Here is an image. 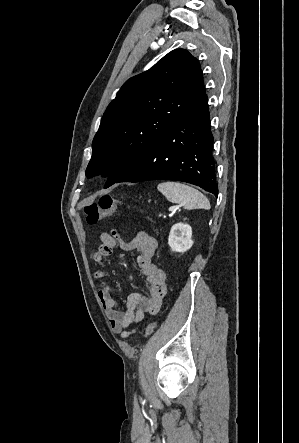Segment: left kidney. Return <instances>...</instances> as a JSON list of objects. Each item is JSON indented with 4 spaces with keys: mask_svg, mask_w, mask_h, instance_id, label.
Returning <instances> with one entry per match:
<instances>
[{
    "mask_svg": "<svg viewBox=\"0 0 299 443\" xmlns=\"http://www.w3.org/2000/svg\"><path fill=\"white\" fill-rule=\"evenodd\" d=\"M192 238V228L188 224L177 223L172 226L168 245L172 251L175 252H186L193 245Z\"/></svg>",
    "mask_w": 299,
    "mask_h": 443,
    "instance_id": "left-kidney-1",
    "label": "left kidney"
}]
</instances>
